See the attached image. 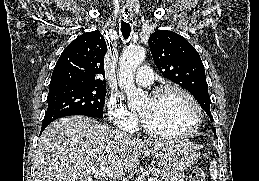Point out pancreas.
Wrapping results in <instances>:
<instances>
[{"mask_svg":"<svg viewBox=\"0 0 259 181\" xmlns=\"http://www.w3.org/2000/svg\"><path fill=\"white\" fill-rule=\"evenodd\" d=\"M147 171L152 176L159 178L160 180L158 181H184L186 178L184 173L162 168L148 167Z\"/></svg>","mask_w":259,"mask_h":181,"instance_id":"obj_1","label":"pancreas"}]
</instances>
